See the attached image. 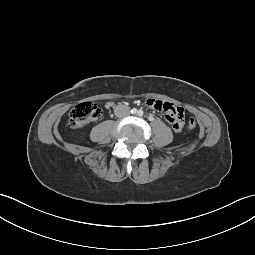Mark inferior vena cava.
Instances as JSON below:
<instances>
[{"label":"inferior vena cava","instance_id":"inferior-vena-cava-1","mask_svg":"<svg viewBox=\"0 0 255 255\" xmlns=\"http://www.w3.org/2000/svg\"><path fill=\"white\" fill-rule=\"evenodd\" d=\"M115 114L118 116V117H123V116H127L130 114V109L128 106H125V105H118L116 106L115 108Z\"/></svg>","mask_w":255,"mask_h":255}]
</instances>
